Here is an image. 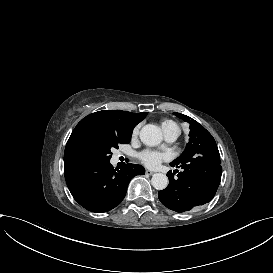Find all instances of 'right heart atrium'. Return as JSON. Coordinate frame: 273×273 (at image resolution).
I'll list each match as a JSON object with an SVG mask.
<instances>
[{"instance_id": "obj_1", "label": "right heart atrium", "mask_w": 273, "mask_h": 273, "mask_svg": "<svg viewBox=\"0 0 273 273\" xmlns=\"http://www.w3.org/2000/svg\"><path fill=\"white\" fill-rule=\"evenodd\" d=\"M137 132V130H134V133H136Z\"/></svg>"}]
</instances>
